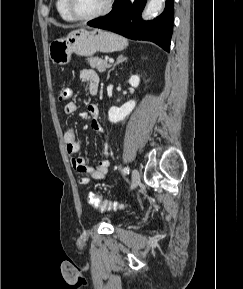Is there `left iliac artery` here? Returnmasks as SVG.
Returning a JSON list of instances; mask_svg holds the SVG:
<instances>
[{"label": "left iliac artery", "mask_w": 243, "mask_h": 289, "mask_svg": "<svg viewBox=\"0 0 243 289\" xmlns=\"http://www.w3.org/2000/svg\"><path fill=\"white\" fill-rule=\"evenodd\" d=\"M129 171H130L129 167H124V169H123L124 173L129 174Z\"/></svg>", "instance_id": "obj_1"}]
</instances>
